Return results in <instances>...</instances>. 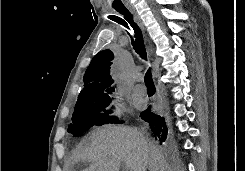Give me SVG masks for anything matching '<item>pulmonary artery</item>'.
<instances>
[{"mask_svg": "<svg viewBox=\"0 0 245 171\" xmlns=\"http://www.w3.org/2000/svg\"><path fill=\"white\" fill-rule=\"evenodd\" d=\"M133 91L136 95H140V96L145 95L147 92L146 87L141 84L136 85Z\"/></svg>", "mask_w": 245, "mask_h": 171, "instance_id": "obj_1", "label": "pulmonary artery"}]
</instances>
